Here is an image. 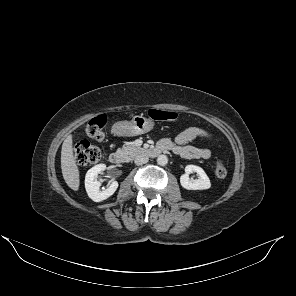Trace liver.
I'll return each mask as SVG.
<instances>
[{
	"mask_svg": "<svg viewBox=\"0 0 296 296\" xmlns=\"http://www.w3.org/2000/svg\"><path fill=\"white\" fill-rule=\"evenodd\" d=\"M61 169L66 184L74 191L79 190L80 175L73 155V140L69 134L62 144Z\"/></svg>",
	"mask_w": 296,
	"mask_h": 296,
	"instance_id": "obj_1",
	"label": "liver"
}]
</instances>
